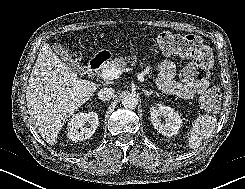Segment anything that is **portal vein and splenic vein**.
<instances>
[{
  "label": "portal vein and splenic vein",
  "mask_w": 245,
  "mask_h": 189,
  "mask_svg": "<svg viewBox=\"0 0 245 189\" xmlns=\"http://www.w3.org/2000/svg\"><path fill=\"white\" fill-rule=\"evenodd\" d=\"M133 72L132 68H112V69H105L102 70L99 76L104 80H113L119 78L122 72ZM137 78L140 82H144V74L143 73H136Z\"/></svg>",
  "instance_id": "1"
}]
</instances>
